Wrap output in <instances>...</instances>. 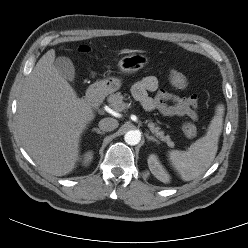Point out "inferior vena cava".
Listing matches in <instances>:
<instances>
[{
	"label": "inferior vena cava",
	"mask_w": 248,
	"mask_h": 248,
	"mask_svg": "<svg viewBox=\"0 0 248 248\" xmlns=\"http://www.w3.org/2000/svg\"><path fill=\"white\" fill-rule=\"evenodd\" d=\"M119 123L116 119L114 118H104L102 120H100L99 122V128L102 131H112L114 129H116L118 127Z\"/></svg>",
	"instance_id": "obj_1"
}]
</instances>
